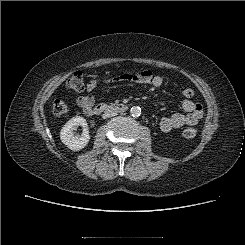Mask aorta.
I'll list each match as a JSON object with an SVG mask.
<instances>
[{
    "label": "aorta",
    "mask_w": 245,
    "mask_h": 245,
    "mask_svg": "<svg viewBox=\"0 0 245 245\" xmlns=\"http://www.w3.org/2000/svg\"><path fill=\"white\" fill-rule=\"evenodd\" d=\"M130 114L133 116V117H138L140 116L141 114V108L139 106H133L131 107L130 109Z\"/></svg>",
    "instance_id": "aorta-1"
}]
</instances>
